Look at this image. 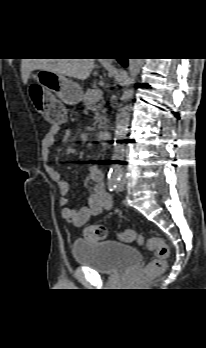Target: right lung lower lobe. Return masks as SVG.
Instances as JSON below:
<instances>
[{
  "label": "right lung lower lobe",
  "instance_id": "obj_1",
  "mask_svg": "<svg viewBox=\"0 0 206 348\" xmlns=\"http://www.w3.org/2000/svg\"><path fill=\"white\" fill-rule=\"evenodd\" d=\"M118 60L123 66H127V59L122 58V59H118Z\"/></svg>",
  "mask_w": 206,
  "mask_h": 348
}]
</instances>
